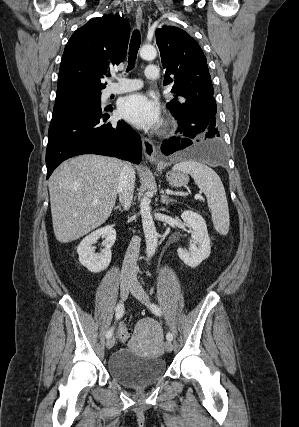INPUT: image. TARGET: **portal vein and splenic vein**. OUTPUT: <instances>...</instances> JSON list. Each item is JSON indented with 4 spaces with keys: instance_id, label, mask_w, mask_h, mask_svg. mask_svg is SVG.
<instances>
[{
    "instance_id": "obj_1",
    "label": "portal vein and splenic vein",
    "mask_w": 299,
    "mask_h": 427,
    "mask_svg": "<svg viewBox=\"0 0 299 427\" xmlns=\"http://www.w3.org/2000/svg\"><path fill=\"white\" fill-rule=\"evenodd\" d=\"M195 199H202V196L200 194H196Z\"/></svg>"
}]
</instances>
